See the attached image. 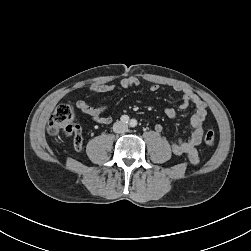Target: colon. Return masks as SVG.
Returning <instances> with one entry per match:
<instances>
[{
    "label": "colon",
    "mask_w": 251,
    "mask_h": 251,
    "mask_svg": "<svg viewBox=\"0 0 251 251\" xmlns=\"http://www.w3.org/2000/svg\"><path fill=\"white\" fill-rule=\"evenodd\" d=\"M48 133L50 135H58L60 133L73 134L76 146L82 142L81 130L75 123L74 107L71 103H62L56 107L49 119ZM215 140V132L213 130L206 131L204 135L205 144L213 146Z\"/></svg>",
    "instance_id": "obj_1"
}]
</instances>
